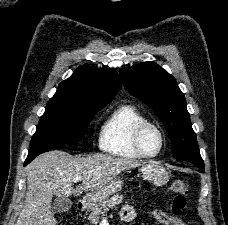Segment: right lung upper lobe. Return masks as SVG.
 Instances as JSON below:
<instances>
[{
    "instance_id": "right-lung-upper-lobe-1",
    "label": "right lung upper lobe",
    "mask_w": 228,
    "mask_h": 225,
    "mask_svg": "<svg viewBox=\"0 0 228 225\" xmlns=\"http://www.w3.org/2000/svg\"><path fill=\"white\" fill-rule=\"evenodd\" d=\"M120 88L119 77L113 69L82 65L69 79L59 84L52 99L107 104Z\"/></svg>"
}]
</instances>
